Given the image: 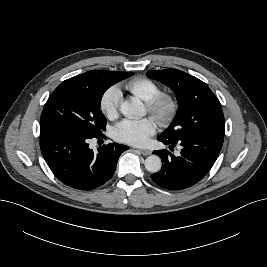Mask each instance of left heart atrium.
Returning <instances> with one entry per match:
<instances>
[{
  "label": "left heart atrium",
  "mask_w": 267,
  "mask_h": 267,
  "mask_svg": "<svg viewBox=\"0 0 267 267\" xmlns=\"http://www.w3.org/2000/svg\"><path fill=\"white\" fill-rule=\"evenodd\" d=\"M156 129V123L151 118L125 119L114 126L112 136L122 143L143 146L155 134Z\"/></svg>",
  "instance_id": "left-heart-atrium-1"
}]
</instances>
